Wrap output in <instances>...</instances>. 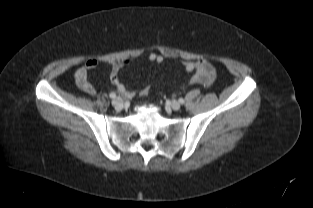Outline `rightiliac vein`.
I'll return each instance as SVG.
<instances>
[{
    "label": "right iliac vein",
    "instance_id": "1",
    "mask_svg": "<svg viewBox=\"0 0 313 208\" xmlns=\"http://www.w3.org/2000/svg\"><path fill=\"white\" fill-rule=\"evenodd\" d=\"M112 105L116 110H121L123 108V100L120 97H116L112 100Z\"/></svg>",
    "mask_w": 313,
    "mask_h": 208
}]
</instances>
